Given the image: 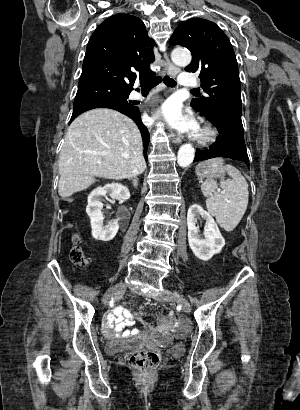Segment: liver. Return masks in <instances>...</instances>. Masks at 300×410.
<instances>
[{
	"mask_svg": "<svg viewBox=\"0 0 300 410\" xmlns=\"http://www.w3.org/2000/svg\"><path fill=\"white\" fill-rule=\"evenodd\" d=\"M139 129L111 109H93L69 126L59 156L58 193L66 199L87 189L94 177L125 179L146 169Z\"/></svg>",
	"mask_w": 300,
	"mask_h": 410,
	"instance_id": "6515ba94",
	"label": "liver"
}]
</instances>
